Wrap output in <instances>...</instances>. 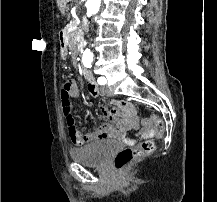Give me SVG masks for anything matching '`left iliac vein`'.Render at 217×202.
<instances>
[{
    "instance_id": "4c4485c4",
    "label": "left iliac vein",
    "mask_w": 217,
    "mask_h": 202,
    "mask_svg": "<svg viewBox=\"0 0 217 202\" xmlns=\"http://www.w3.org/2000/svg\"><path fill=\"white\" fill-rule=\"evenodd\" d=\"M102 94L106 96H112V91L108 86L102 87Z\"/></svg>"
}]
</instances>
